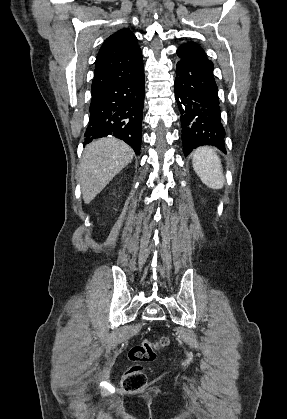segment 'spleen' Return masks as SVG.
Listing matches in <instances>:
<instances>
[{"label":"spleen","mask_w":287,"mask_h":419,"mask_svg":"<svg viewBox=\"0 0 287 419\" xmlns=\"http://www.w3.org/2000/svg\"><path fill=\"white\" fill-rule=\"evenodd\" d=\"M192 164L194 171L201 181L209 188L221 189L224 186L221 159L209 146L197 148L193 153Z\"/></svg>","instance_id":"obj_1"}]
</instances>
